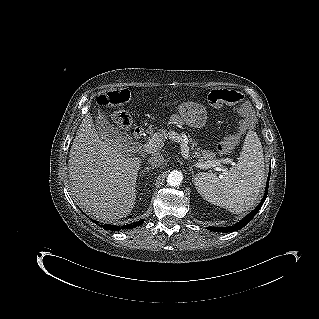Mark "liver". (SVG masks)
Returning a JSON list of instances; mask_svg holds the SVG:
<instances>
[{"mask_svg":"<svg viewBox=\"0 0 319 319\" xmlns=\"http://www.w3.org/2000/svg\"><path fill=\"white\" fill-rule=\"evenodd\" d=\"M69 157L70 185L80 206L103 220L131 213L142 159L130 157L103 136L89 114L80 124Z\"/></svg>","mask_w":319,"mask_h":319,"instance_id":"obj_1","label":"liver"}]
</instances>
